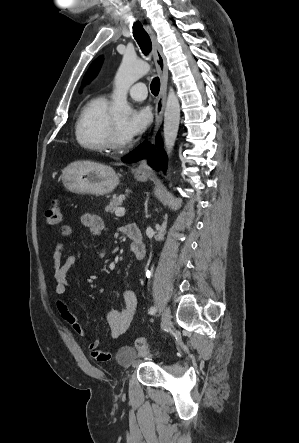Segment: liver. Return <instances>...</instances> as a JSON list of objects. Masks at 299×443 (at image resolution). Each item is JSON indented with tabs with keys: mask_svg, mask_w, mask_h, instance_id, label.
I'll list each match as a JSON object with an SVG mask.
<instances>
[{
	"mask_svg": "<svg viewBox=\"0 0 299 443\" xmlns=\"http://www.w3.org/2000/svg\"><path fill=\"white\" fill-rule=\"evenodd\" d=\"M86 164H88V165H95V164H97V163H92V162H85Z\"/></svg>",
	"mask_w": 299,
	"mask_h": 443,
	"instance_id": "1",
	"label": "liver"
}]
</instances>
